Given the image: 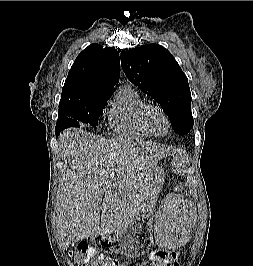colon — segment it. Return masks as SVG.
<instances>
[{"label": "colon", "instance_id": "5ec220e1", "mask_svg": "<svg viewBox=\"0 0 253 266\" xmlns=\"http://www.w3.org/2000/svg\"><path fill=\"white\" fill-rule=\"evenodd\" d=\"M72 257L80 266H128L117 259L100 254L85 241L72 243ZM148 266H179L177 255L163 250L153 251Z\"/></svg>", "mask_w": 253, "mask_h": 266}]
</instances>
